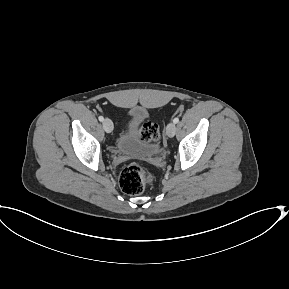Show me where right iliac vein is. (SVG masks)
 Listing matches in <instances>:
<instances>
[{
	"instance_id": "1",
	"label": "right iliac vein",
	"mask_w": 289,
	"mask_h": 289,
	"mask_svg": "<svg viewBox=\"0 0 289 289\" xmlns=\"http://www.w3.org/2000/svg\"><path fill=\"white\" fill-rule=\"evenodd\" d=\"M103 128L107 133H111L113 131V123L110 119H105L103 121Z\"/></svg>"
}]
</instances>
